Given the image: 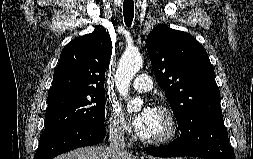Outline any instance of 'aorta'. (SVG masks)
<instances>
[{"mask_svg":"<svg viewBox=\"0 0 253 159\" xmlns=\"http://www.w3.org/2000/svg\"><path fill=\"white\" fill-rule=\"evenodd\" d=\"M143 64L142 56L138 52L126 51L118 64L115 74L116 87L121 96L128 101L127 110L133 112L138 109L142 100L140 98L128 97L130 83Z\"/></svg>","mask_w":253,"mask_h":159,"instance_id":"obj_1","label":"aorta"}]
</instances>
